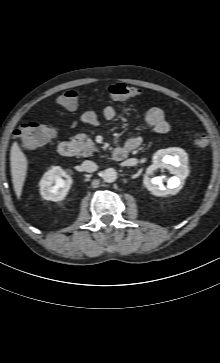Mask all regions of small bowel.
Masks as SVG:
<instances>
[{"label":"small bowel","mask_w":220,"mask_h":363,"mask_svg":"<svg viewBox=\"0 0 220 363\" xmlns=\"http://www.w3.org/2000/svg\"><path fill=\"white\" fill-rule=\"evenodd\" d=\"M107 120H113L118 115V110L115 106H107L103 112ZM81 122L86 125L94 126L98 123V116L94 110H87L81 117ZM144 124L147 128L151 129L157 134H166L169 131V124L165 119L164 112L161 108L153 107L146 113L144 117ZM142 142V138L138 135L130 136L126 142L125 147L129 150L137 149Z\"/></svg>","instance_id":"c3829d8e"}]
</instances>
